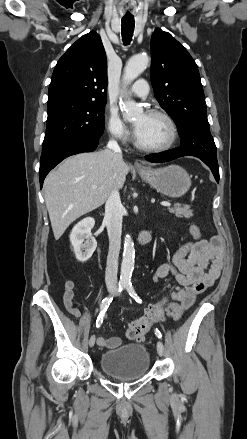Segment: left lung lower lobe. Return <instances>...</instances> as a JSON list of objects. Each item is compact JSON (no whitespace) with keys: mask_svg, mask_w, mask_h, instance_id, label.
<instances>
[{"mask_svg":"<svg viewBox=\"0 0 247 439\" xmlns=\"http://www.w3.org/2000/svg\"><path fill=\"white\" fill-rule=\"evenodd\" d=\"M183 156H188V155H186L180 148H177L169 151L147 155L145 156V159L153 163H161V162H169L171 160ZM212 173L216 181L219 182V170L214 169L212 170Z\"/></svg>","mask_w":247,"mask_h":439,"instance_id":"1","label":"left lung lower lobe"}]
</instances>
